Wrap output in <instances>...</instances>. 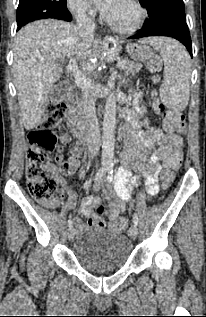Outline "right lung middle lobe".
Wrapping results in <instances>:
<instances>
[{"label":"right lung middle lobe","instance_id":"1","mask_svg":"<svg viewBox=\"0 0 206 317\" xmlns=\"http://www.w3.org/2000/svg\"><path fill=\"white\" fill-rule=\"evenodd\" d=\"M68 12L66 0H20L17 8V26L21 28L39 19H57L58 14Z\"/></svg>","mask_w":206,"mask_h":317}]
</instances>
